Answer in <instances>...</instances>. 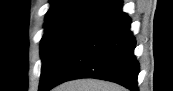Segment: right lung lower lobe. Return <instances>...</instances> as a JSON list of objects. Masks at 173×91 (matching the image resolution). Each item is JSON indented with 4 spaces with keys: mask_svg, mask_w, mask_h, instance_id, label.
I'll use <instances>...</instances> for the list:
<instances>
[{
    "mask_svg": "<svg viewBox=\"0 0 173 91\" xmlns=\"http://www.w3.org/2000/svg\"><path fill=\"white\" fill-rule=\"evenodd\" d=\"M131 20L121 1L87 21L76 33L39 90L77 78H98L138 90L139 63Z\"/></svg>",
    "mask_w": 173,
    "mask_h": 91,
    "instance_id": "obj_1",
    "label": "right lung lower lobe"
}]
</instances>
